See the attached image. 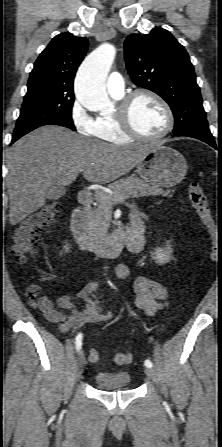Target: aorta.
<instances>
[{
	"label": "aorta",
	"instance_id": "aorta-1",
	"mask_svg": "<svg viewBox=\"0 0 222 447\" xmlns=\"http://www.w3.org/2000/svg\"><path fill=\"white\" fill-rule=\"evenodd\" d=\"M115 54V47L104 43L85 58L77 72L76 99L90 111L105 112L110 108L105 80Z\"/></svg>",
	"mask_w": 222,
	"mask_h": 447
}]
</instances>
